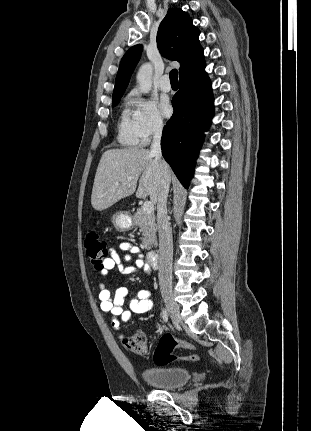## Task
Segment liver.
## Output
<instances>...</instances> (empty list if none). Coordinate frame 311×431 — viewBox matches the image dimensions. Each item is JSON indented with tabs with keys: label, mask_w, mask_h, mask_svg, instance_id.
<instances>
[{
	"label": "liver",
	"mask_w": 311,
	"mask_h": 431,
	"mask_svg": "<svg viewBox=\"0 0 311 431\" xmlns=\"http://www.w3.org/2000/svg\"><path fill=\"white\" fill-rule=\"evenodd\" d=\"M161 174L171 182L170 166L164 160L158 164L150 150H107L96 170L91 206L97 212H102L132 194L143 200L149 196L151 202L157 204Z\"/></svg>",
	"instance_id": "1"
}]
</instances>
